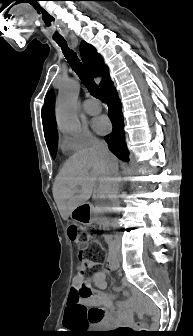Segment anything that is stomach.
Segmentation results:
<instances>
[{"label":"stomach","instance_id":"stomach-1","mask_svg":"<svg viewBox=\"0 0 193 336\" xmlns=\"http://www.w3.org/2000/svg\"><path fill=\"white\" fill-rule=\"evenodd\" d=\"M72 220L83 225H90L94 222L93 211L87 204L76 207L70 214Z\"/></svg>","mask_w":193,"mask_h":336}]
</instances>
